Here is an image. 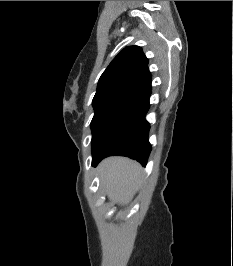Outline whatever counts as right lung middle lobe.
Listing matches in <instances>:
<instances>
[{
  "label": "right lung middle lobe",
  "instance_id": "right-lung-middle-lobe-1",
  "mask_svg": "<svg viewBox=\"0 0 233 266\" xmlns=\"http://www.w3.org/2000/svg\"><path fill=\"white\" fill-rule=\"evenodd\" d=\"M149 93L129 92L93 99L92 153L146 100Z\"/></svg>",
  "mask_w": 233,
  "mask_h": 266
}]
</instances>
